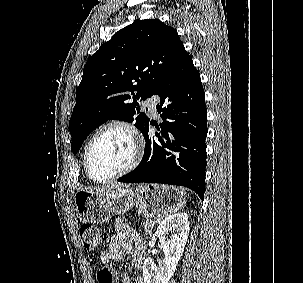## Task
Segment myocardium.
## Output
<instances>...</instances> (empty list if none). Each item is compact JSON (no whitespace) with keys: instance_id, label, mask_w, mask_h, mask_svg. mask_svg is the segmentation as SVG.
<instances>
[{"instance_id":"myocardium-1","label":"myocardium","mask_w":303,"mask_h":283,"mask_svg":"<svg viewBox=\"0 0 303 283\" xmlns=\"http://www.w3.org/2000/svg\"><path fill=\"white\" fill-rule=\"evenodd\" d=\"M111 128H119V129L126 131L129 134V136L133 142V146H134L133 156H132V159L130 160V162L124 168L119 170L118 172H116L110 176H107L105 178H96L92 175L90 168H89V162H88L89 152H90V149H91L94 141L96 140V138L100 134H102L103 132H105L106 130L111 129ZM143 153H144V143H143V139H142L140 133L138 132V130L133 125H131L130 123H127L125 121L112 120V121H109V122L105 123L104 125H102L92 135L89 142L87 143L85 151H84V157H83L84 170H85L87 177L94 182L103 183V182L115 180V179H118V178L130 173L131 171H133L141 162Z\"/></svg>"}]
</instances>
